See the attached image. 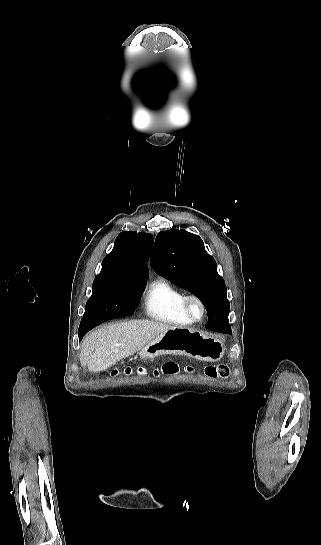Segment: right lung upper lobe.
I'll return each mask as SVG.
<instances>
[{"label": "right lung upper lobe", "mask_w": 321, "mask_h": 545, "mask_svg": "<svg viewBox=\"0 0 321 545\" xmlns=\"http://www.w3.org/2000/svg\"><path fill=\"white\" fill-rule=\"evenodd\" d=\"M153 236L134 231L121 232L114 248L103 262L99 276H106L117 285H145L148 279V260Z\"/></svg>", "instance_id": "1"}]
</instances>
